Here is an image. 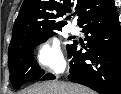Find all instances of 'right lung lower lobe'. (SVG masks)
<instances>
[{
  "label": "right lung lower lobe",
  "mask_w": 121,
  "mask_h": 94,
  "mask_svg": "<svg viewBox=\"0 0 121 94\" xmlns=\"http://www.w3.org/2000/svg\"><path fill=\"white\" fill-rule=\"evenodd\" d=\"M79 27L85 33L88 47L82 53L75 42L68 52L70 74L68 78L100 94H121V27L115 2L85 18ZM52 74L40 79L52 80Z\"/></svg>",
  "instance_id": "obj_1"
}]
</instances>
